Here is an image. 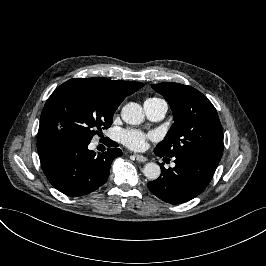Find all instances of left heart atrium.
<instances>
[{
  "mask_svg": "<svg viewBox=\"0 0 266 266\" xmlns=\"http://www.w3.org/2000/svg\"><path fill=\"white\" fill-rule=\"evenodd\" d=\"M119 140L127 147L133 150H142L147 146L148 139H154L155 134L148 135L137 130H120L118 133Z\"/></svg>",
  "mask_w": 266,
  "mask_h": 266,
  "instance_id": "obj_1",
  "label": "left heart atrium"
}]
</instances>
